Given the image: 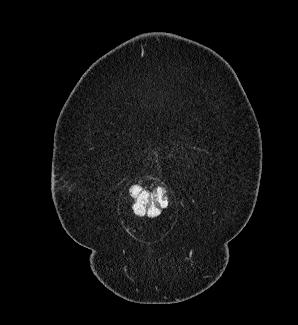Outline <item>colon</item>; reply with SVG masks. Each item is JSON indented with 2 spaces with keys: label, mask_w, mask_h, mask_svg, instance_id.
<instances>
[{
  "label": "colon",
  "mask_w": 298,
  "mask_h": 325,
  "mask_svg": "<svg viewBox=\"0 0 298 325\" xmlns=\"http://www.w3.org/2000/svg\"><path fill=\"white\" fill-rule=\"evenodd\" d=\"M130 194L133 211L140 216H157L168 200L167 190L163 187L147 189L135 186L131 189Z\"/></svg>",
  "instance_id": "obj_1"
}]
</instances>
